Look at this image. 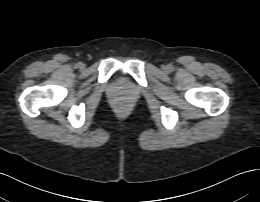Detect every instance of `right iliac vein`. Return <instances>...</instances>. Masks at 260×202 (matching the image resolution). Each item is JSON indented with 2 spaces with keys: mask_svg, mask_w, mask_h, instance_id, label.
I'll return each mask as SVG.
<instances>
[{
  "mask_svg": "<svg viewBox=\"0 0 260 202\" xmlns=\"http://www.w3.org/2000/svg\"><path fill=\"white\" fill-rule=\"evenodd\" d=\"M80 67H83L84 66V64L83 63H80V65H79Z\"/></svg>",
  "mask_w": 260,
  "mask_h": 202,
  "instance_id": "right-iliac-vein-1",
  "label": "right iliac vein"
}]
</instances>
